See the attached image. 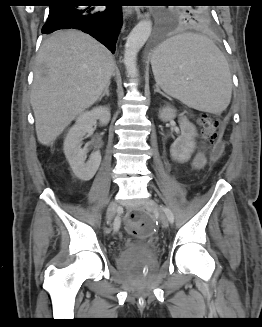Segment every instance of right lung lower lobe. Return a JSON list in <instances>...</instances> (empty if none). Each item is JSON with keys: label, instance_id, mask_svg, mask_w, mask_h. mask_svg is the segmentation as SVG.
I'll return each mask as SVG.
<instances>
[{"label": "right lung lower lobe", "instance_id": "obj_1", "mask_svg": "<svg viewBox=\"0 0 262 327\" xmlns=\"http://www.w3.org/2000/svg\"><path fill=\"white\" fill-rule=\"evenodd\" d=\"M47 21L42 33L49 34L60 29H78L90 34L112 53L122 25L120 6H107L96 11L92 6H77L72 0H51Z\"/></svg>", "mask_w": 262, "mask_h": 327}]
</instances>
